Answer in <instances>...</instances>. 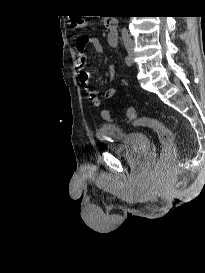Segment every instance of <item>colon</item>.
<instances>
[{"instance_id": "5ec220e1", "label": "colon", "mask_w": 205, "mask_h": 273, "mask_svg": "<svg viewBox=\"0 0 205 273\" xmlns=\"http://www.w3.org/2000/svg\"><path fill=\"white\" fill-rule=\"evenodd\" d=\"M87 26L88 21L84 17L78 16L73 19V28L75 30L81 31ZM106 114L108 118H111L108 113ZM127 119L134 125L149 127L156 131L163 146L161 158L158 162V170L162 173H170L176 164L178 154L173 132L153 117H139L133 107L128 108Z\"/></svg>"}]
</instances>
